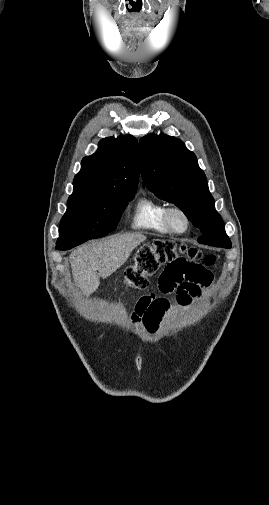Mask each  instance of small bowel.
I'll return each instance as SVG.
<instances>
[{
    "mask_svg": "<svg viewBox=\"0 0 269 505\" xmlns=\"http://www.w3.org/2000/svg\"><path fill=\"white\" fill-rule=\"evenodd\" d=\"M211 276L212 271L202 260L170 259L158 274V286L150 292L151 298L139 300L134 319L142 318L150 331H156L164 313L168 311L170 295L176 296L182 306H188L193 298L200 295L201 287L205 290L213 288Z\"/></svg>",
    "mask_w": 269,
    "mask_h": 505,
    "instance_id": "small-bowel-1",
    "label": "small bowel"
}]
</instances>
